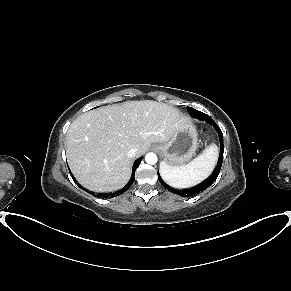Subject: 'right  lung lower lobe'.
<instances>
[{"instance_id": "obj_1", "label": "right lung lower lobe", "mask_w": 291, "mask_h": 291, "mask_svg": "<svg viewBox=\"0 0 291 291\" xmlns=\"http://www.w3.org/2000/svg\"><path fill=\"white\" fill-rule=\"evenodd\" d=\"M141 160H142V158H139L138 160H136V161L134 162V165H133V171H132V176H131L129 182L126 184V186H125L124 188H122L121 190L116 191V192H114V193H109V194H107V193H105V194H99L98 196H99V197H102V196H103V197H105V198H108V197L113 198V197H115V196H118V195L124 193V192H125V191H126V190L131 186V185H132V183L134 182V180H135V171H136L137 167L139 166ZM71 176H72L73 180H75L72 174H71ZM78 186H79V185H78ZM79 187H81V186H79ZM81 188H82V187H81ZM82 189L85 190L86 192H88V190H86V189H84V188H82Z\"/></svg>"}]
</instances>
